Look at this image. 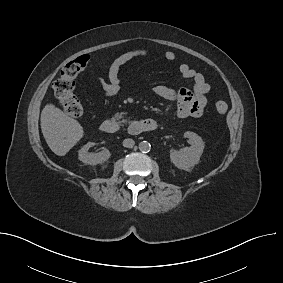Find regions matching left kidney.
<instances>
[{
  "label": "left kidney",
  "mask_w": 283,
  "mask_h": 283,
  "mask_svg": "<svg viewBox=\"0 0 283 283\" xmlns=\"http://www.w3.org/2000/svg\"><path fill=\"white\" fill-rule=\"evenodd\" d=\"M184 137L188 138L190 147L171 152L170 159L178 169L189 171L198 164L204 150V142L200 136L190 131L185 132Z\"/></svg>",
  "instance_id": "obj_1"
}]
</instances>
